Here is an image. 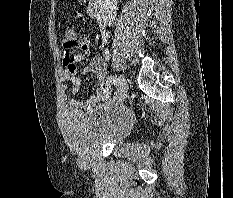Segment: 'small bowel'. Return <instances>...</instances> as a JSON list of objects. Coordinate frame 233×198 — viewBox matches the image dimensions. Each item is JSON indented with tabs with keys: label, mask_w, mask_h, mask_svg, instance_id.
Segmentation results:
<instances>
[{
	"label": "small bowel",
	"mask_w": 233,
	"mask_h": 198,
	"mask_svg": "<svg viewBox=\"0 0 233 198\" xmlns=\"http://www.w3.org/2000/svg\"><path fill=\"white\" fill-rule=\"evenodd\" d=\"M80 52L71 54L69 50L63 46L62 61L65 66V78L73 83L71 93L77 94L80 85V73L77 70L76 64L86 59L90 54V37L88 35H81L77 38L76 45ZM83 74H95L98 80V88L95 94L85 101L79 99H71L69 102L72 110H92L98 103L109 99L111 90L107 80V69L102 57H93L87 66L82 71Z\"/></svg>",
	"instance_id": "small-bowel-1"
}]
</instances>
